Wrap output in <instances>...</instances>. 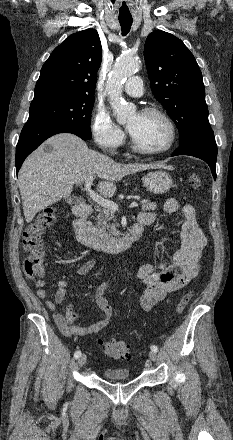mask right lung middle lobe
<instances>
[{
    "instance_id": "1",
    "label": "right lung middle lobe",
    "mask_w": 233,
    "mask_h": 440,
    "mask_svg": "<svg viewBox=\"0 0 233 440\" xmlns=\"http://www.w3.org/2000/svg\"><path fill=\"white\" fill-rule=\"evenodd\" d=\"M93 105L94 98L68 97L31 103L27 123L69 126L91 139Z\"/></svg>"
}]
</instances>
